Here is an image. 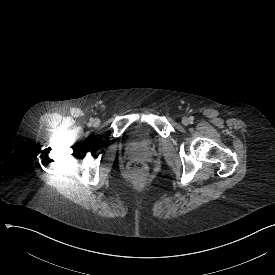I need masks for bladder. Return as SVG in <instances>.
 Masks as SVG:
<instances>
[{
	"instance_id": "obj_1",
	"label": "bladder",
	"mask_w": 275,
	"mask_h": 275,
	"mask_svg": "<svg viewBox=\"0 0 275 275\" xmlns=\"http://www.w3.org/2000/svg\"><path fill=\"white\" fill-rule=\"evenodd\" d=\"M133 144L139 145V148L151 150L154 145L153 137L146 131L135 130L133 127L129 128V133L126 138Z\"/></svg>"
}]
</instances>
